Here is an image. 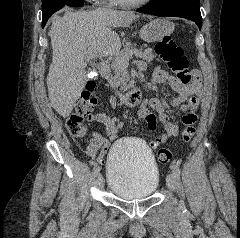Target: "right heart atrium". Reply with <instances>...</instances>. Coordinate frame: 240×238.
<instances>
[{"label":"right heart atrium","mask_w":240,"mask_h":238,"mask_svg":"<svg viewBox=\"0 0 240 238\" xmlns=\"http://www.w3.org/2000/svg\"><path fill=\"white\" fill-rule=\"evenodd\" d=\"M92 2H110L111 0H88Z\"/></svg>","instance_id":"d8ad5b80"}]
</instances>
